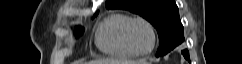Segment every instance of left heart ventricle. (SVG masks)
<instances>
[{
	"label": "left heart ventricle",
	"mask_w": 242,
	"mask_h": 64,
	"mask_svg": "<svg viewBox=\"0 0 242 64\" xmlns=\"http://www.w3.org/2000/svg\"><path fill=\"white\" fill-rule=\"evenodd\" d=\"M130 38L134 47L141 52L147 51L152 46V35L149 28L142 22L133 24Z\"/></svg>",
	"instance_id": "obj_1"
}]
</instances>
